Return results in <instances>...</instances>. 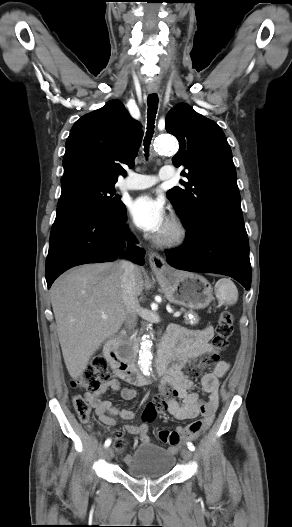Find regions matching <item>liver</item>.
I'll return each mask as SVG.
<instances>
[{
    "mask_svg": "<svg viewBox=\"0 0 292 527\" xmlns=\"http://www.w3.org/2000/svg\"><path fill=\"white\" fill-rule=\"evenodd\" d=\"M122 272L120 261L83 265L61 276L51 287L57 334L73 379L83 375L93 354L125 320ZM135 281L140 295L144 281L138 266Z\"/></svg>",
    "mask_w": 292,
    "mask_h": 527,
    "instance_id": "liver-1",
    "label": "liver"
}]
</instances>
